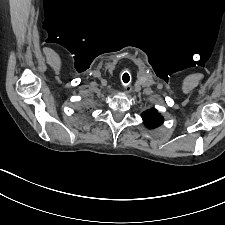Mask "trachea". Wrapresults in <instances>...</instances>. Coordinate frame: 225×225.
Wrapping results in <instances>:
<instances>
[{
    "label": "trachea",
    "instance_id": "3493384b",
    "mask_svg": "<svg viewBox=\"0 0 225 225\" xmlns=\"http://www.w3.org/2000/svg\"><path fill=\"white\" fill-rule=\"evenodd\" d=\"M122 79H123L124 83H128L129 80H130L129 74L128 73H124Z\"/></svg>",
    "mask_w": 225,
    "mask_h": 225
}]
</instances>
